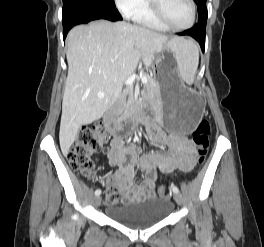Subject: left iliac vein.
Masks as SVG:
<instances>
[{"instance_id": "1", "label": "left iliac vein", "mask_w": 264, "mask_h": 247, "mask_svg": "<svg viewBox=\"0 0 264 247\" xmlns=\"http://www.w3.org/2000/svg\"><path fill=\"white\" fill-rule=\"evenodd\" d=\"M174 199L179 205H181L183 203V197L179 193L174 194Z\"/></svg>"}]
</instances>
